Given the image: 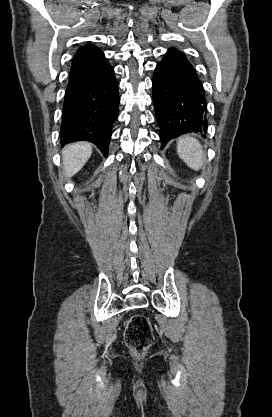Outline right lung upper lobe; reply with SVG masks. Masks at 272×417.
I'll return each mask as SVG.
<instances>
[{"label": "right lung upper lobe", "instance_id": "1", "mask_svg": "<svg viewBox=\"0 0 272 417\" xmlns=\"http://www.w3.org/2000/svg\"><path fill=\"white\" fill-rule=\"evenodd\" d=\"M91 45H86V46H84V47H82V48H80L79 50H78V52H81V51H83V50H85V49H87V48H89Z\"/></svg>", "mask_w": 272, "mask_h": 417}]
</instances>
